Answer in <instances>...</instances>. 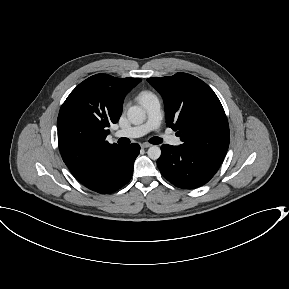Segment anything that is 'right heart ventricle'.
I'll use <instances>...</instances> for the list:
<instances>
[{"label": "right heart ventricle", "instance_id": "1", "mask_svg": "<svg viewBox=\"0 0 289 289\" xmlns=\"http://www.w3.org/2000/svg\"><path fill=\"white\" fill-rule=\"evenodd\" d=\"M154 95L149 91H143L138 95V100L143 104L146 100L153 97Z\"/></svg>", "mask_w": 289, "mask_h": 289}]
</instances>
